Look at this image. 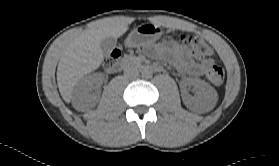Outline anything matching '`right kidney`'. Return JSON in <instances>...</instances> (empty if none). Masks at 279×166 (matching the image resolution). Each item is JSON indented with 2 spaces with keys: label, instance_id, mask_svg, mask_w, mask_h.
Instances as JSON below:
<instances>
[{
  "label": "right kidney",
  "instance_id": "1",
  "mask_svg": "<svg viewBox=\"0 0 279 166\" xmlns=\"http://www.w3.org/2000/svg\"><path fill=\"white\" fill-rule=\"evenodd\" d=\"M101 86V77L88 76L79 81L74 89L75 100L85 106L94 99L96 92Z\"/></svg>",
  "mask_w": 279,
  "mask_h": 166
}]
</instances>
